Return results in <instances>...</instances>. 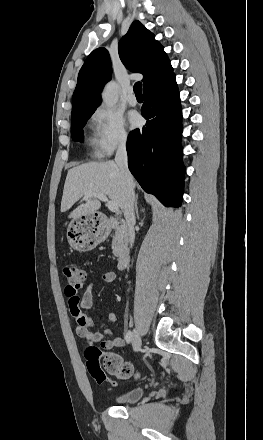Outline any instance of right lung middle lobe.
Listing matches in <instances>:
<instances>
[{"instance_id":"right-lung-middle-lobe-1","label":"right lung middle lobe","mask_w":263,"mask_h":440,"mask_svg":"<svg viewBox=\"0 0 263 440\" xmlns=\"http://www.w3.org/2000/svg\"><path fill=\"white\" fill-rule=\"evenodd\" d=\"M93 113L94 111L77 115L71 118V136L73 141H83V127Z\"/></svg>"}]
</instances>
